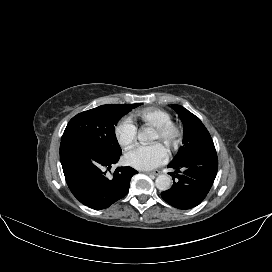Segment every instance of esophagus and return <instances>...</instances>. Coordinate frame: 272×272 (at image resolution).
Listing matches in <instances>:
<instances>
[{"label": "esophagus", "instance_id": "1", "mask_svg": "<svg viewBox=\"0 0 272 272\" xmlns=\"http://www.w3.org/2000/svg\"><path fill=\"white\" fill-rule=\"evenodd\" d=\"M160 173H161V172L158 171V170L151 171V172H146V174H151V175H155V176L159 175Z\"/></svg>", "mask_w": 272, "mask_h": 272}]
</instances>
